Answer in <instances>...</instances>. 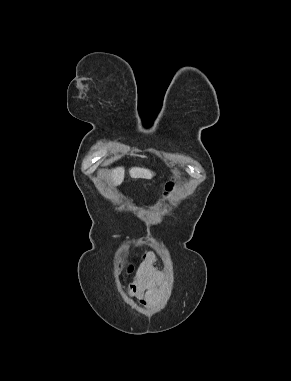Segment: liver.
<instances>
[{
	"label": "liver",
	"instance_id": "1",
	"mask_svg": "<svg viewBox=\"0 0 291 381\" xmlns=\"http://www.w3.org/2000/svg\"><path fill=\"white\" fill-rule=\"evenodd\" d=\"M124 172L125 170L122 167H118L112 170V172H110L109 175L111 176V180L115 186L120 185L123 182ZM129 173H130V176L135 179L137 178L151 179L154 175L150 170L139 168V167L131 168L129 170Z\"/></svg>",
	"mask_w": 291,
	"mask_h": 381
}]
</instances>
